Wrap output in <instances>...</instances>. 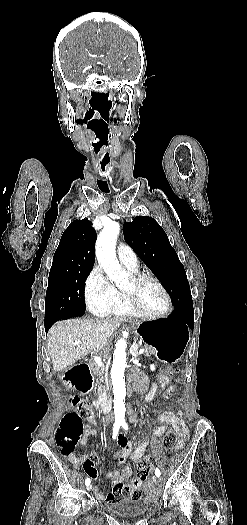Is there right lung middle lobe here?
<instances>
[{"label": "right lung middle lobe", "instance_id": "right-lung-middle-lobe-1", "mask_svg": "<svg viewBox=\"0 0 247 525\" xmlns=\"http://www.w3.org/2000/svg\"><path fill=\"white\" fill-rule=\"evenodd\" d=\"M91 270L50 271L45 298V325L85 313L84 286Z\"/></svg>", "mask_w": 247, "mask_h": 525}]
</instances>
